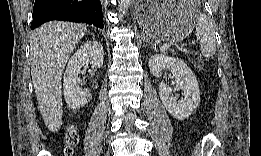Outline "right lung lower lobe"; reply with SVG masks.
Returning a JSON list of instances; mask_svg holds the SVG:
<instances>
[{
    "instance_id": "obj_1",
    "label": "right lung lower lobe",
    "mask_w": 261,
    "mask_h": 156,
    "mask_svg": "<svg viewBox=\"0 0 261 156\" xmlns=\"http://www.w3.org/2000/svg\"><path fill=\"white\" fill-rule=\"evenodd\" d=\"M50 20L85 22L103 28L100 0H35L31 29Z\"/></svg>"
}]
</instances>
